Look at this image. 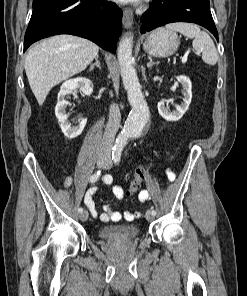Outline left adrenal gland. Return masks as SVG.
Masks as SVG:
<instances>
[{
	"instance_id": "left-adrenal-gland-1",
	"label": "left adrenal gland",
	"mask_w": 247,
	"mask_h": 296,
	"mask_svg": "<svg viewBox=\"0 0 247 296\" xmlns=\"http://www.w3.org/2000/svg\"><path fill=\"white\" fill-rule=\"evenodd\" d=\"M148 59H149V62L147 63V67L148 68H151L153 65H157L156 62H153L152 61V58L151 57H148Z\"/></svg>"
}]
</instances>
